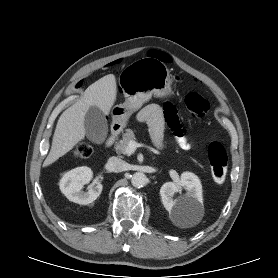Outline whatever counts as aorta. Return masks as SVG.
<instances>
[{
  "label": "aorta",
  "instance_id": "762f6f07",
  "mask_svg": "<svg viewBox=\"0 0 278 278\" xmlns=\"http://www.w3.org/2000/svg\"><path fill=\"white\" fill-rule=\"evenodd\" d=\"M131 183L136 188H141L147 183V177L142 172H136L132 175Z\"/></svg>",
  "mask_w": 278,
  "mask_h": 278
}]
</instances>
